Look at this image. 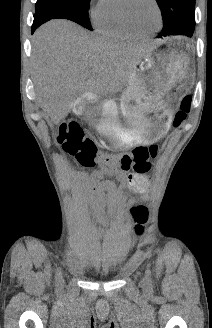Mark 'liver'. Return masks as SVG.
Segmentation results:
<instances>
[{
  "instance_id": "1",
  "label": "liver",
  "mask_w": 212,
  "mask_h": 328,
  "mask_svg": "<svg viewBox=\"0 0 212 328\" xmlns=\"http://www.w3.org/2000/svg\"><path fill=\"white\" fill-rule=\"evenodd\" d=\"M67 20H51L33 36L32 62L40 107L58 124L84 93L112 95L128 83L148 53Z\"/></svg>"
}]
</instances>
